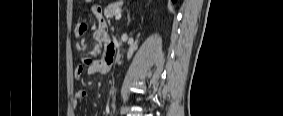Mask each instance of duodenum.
I'll return each mask as SVG.
<instances>
[{
  "instance_id": "duodenum-1",
  "label": "duodenum",
  "mask_w": 283,
  "mask_h": 116,
  "mask_svg": "<svg viewBox=\"0 0 283 116\" xmlns=\"http://www.w3.org/2000/svg\"><path fill=\"white\" fill-rule=\"evenodd\" d=\"M108 62H109L110 64H112V63L114 62V57H110V58L108 59Z\"/></svg>"
}]
</instances>
